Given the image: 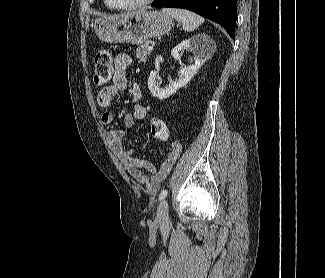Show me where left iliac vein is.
<instances>
[{
	"label": "left iliac vein",
	"mask_w": 325,
	"mask_h": 278,
	"mask_svg": "<svg viewBox=\"0 0 325 278\" xmlns=\"http://www.w3.org/2000/svg\"><path fill=\"white\" fill-rule=\"evenodd\" d=\"M168 203L166 200H162L158 206L156 223L159 225H164L168 223Z\"/></svg>",
	"instance_id": "obj_1"
}]
</instances>
